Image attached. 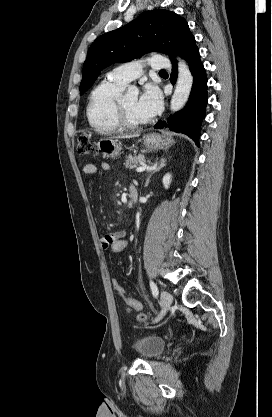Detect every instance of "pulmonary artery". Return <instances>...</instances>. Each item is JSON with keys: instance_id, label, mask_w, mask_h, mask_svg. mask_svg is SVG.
<instances>
[{"instance_id": "1", "label": "pulmonary artery", "mask_w": 272, "mask_h": 417, "mask_svg": "<svg viewBox=\"0 0 272 417\" xmlns=\"http://www.w3.org/2000/svg\"><path fill=\"white\" fill-rule=\"evenodd\" d=\"M149 65L153 70H165L170 67V62L161 55H153L149 59ZM142 72V63L140 61H135L114 68L109 72L108 77L126 86L131 81L140 77Z\"/></svg>"}]
</instances>
